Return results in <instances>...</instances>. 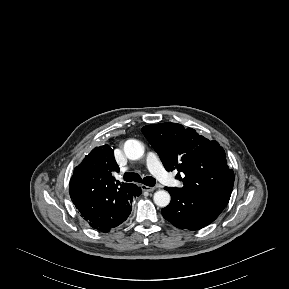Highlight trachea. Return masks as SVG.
<instances>
[{
    "mask_svg": "<svg viewBox=\"0 0 289 289\" xmlns=\"http://www.w3.org/2000/svg\"><path fill=\"white\" fill-rule=\"evenodd\" d=\"M123 178L125 181L128 182H142L143 184L147 185V186H154L156 183V180L151 177V176H146L143 179L140 177V175L138 173H125L123 175Z\"/></svg>",
    "mask_w": 289,
    "mask_h": 289,
    "instance_id": "trachea-1",
    "label": "trachea"
}]
</instances>
